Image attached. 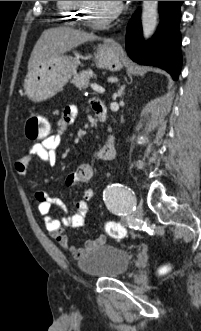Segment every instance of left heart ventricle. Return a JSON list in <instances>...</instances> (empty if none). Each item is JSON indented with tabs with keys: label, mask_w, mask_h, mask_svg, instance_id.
I'll return each mask as SVG.
<instances>
[{
	"label": "left heart ventricle",
	"mask_w": 201,
	"mask_h": 331,
	"mask_svg": "<svg viewBox=\"0 0 201 331\" xmlns=\"http://www.w3.org/2000/svg\"><path fill=\"white\" fill-rule=\"evenodd\" d=\"M117 6L115 1H89L87 16L92 21H101L111 14Z\"/></svg>",
	"instance_id": "1"
}]
</instances>
